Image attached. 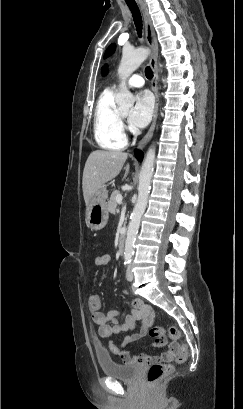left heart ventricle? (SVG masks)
<instances>
[{"instance_id":"b2bd125f","label":"left heart ventricle","mask_w":243,"mask_h":409,"mask_svg":"<svg viewBox=\"0 0 243 409\" xmlns=\"http://www.w3.org/2000/svg\"><path fill=\"white\" fill-rule=\"evenodd\" d=\"M123 116H126L129 113V108L121 109L119 111Z\"/></svg>"}]
</instances>
